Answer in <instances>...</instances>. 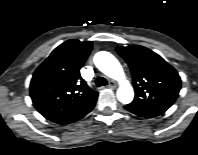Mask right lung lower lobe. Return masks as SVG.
Wrapping results in <instances>:
<instances>
[{"label": "right lung lower lobe", "instance_id": "98d812e1", "mask_svg": "<svg viewBox=\"0 0 198 155\" xmlns=\"http://www.w3.org/2000/svg\"><path fill=\"white\" fill-rule=\"evenodd\" d=\"M96 100H97V97H94L88 100L86 103L81 105L79 108H77L73 112L65 116L52 119L51 121L58 123V124H69V123L78 121L79 119L83 118L86 114H88L94 108Z\"/></svg>", "mask_w": 198, "mask_h": 155}]
</instances>
